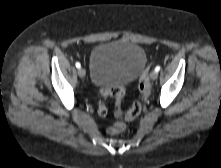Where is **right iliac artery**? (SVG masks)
Returning a JSON list of instances; mask_svg holds the SVG:
<instances>
[{"label": "right iliac artery", "mask_w": 221, "mask_h": 168, "mask_svg": "<svg viewBox=\"0 0 221 168\" xmlns=\"http://www.w3.org/2000/svg\"><path fill=\"white\" fill-rule=\"evenodd\" d=\"M75 66L79 69L81 67V64L79 62H76Z\"/></svg>", "instance_id": "right-iliac-artery-1"}]
</instances>
